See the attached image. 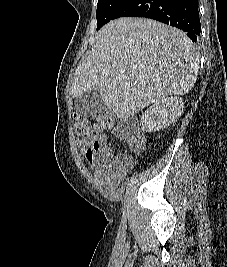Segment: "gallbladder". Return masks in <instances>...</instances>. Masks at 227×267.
<instances>
[{"instance_id": "gallbladder-1", "label": "gallbladder", "mask_w": 227, "mask_h": 267, "mask_svg": "<svg viewBox=\"0 0 227 267\" xmlns=\"http://www.w3.org/2000/svg\"><path fill=\"white\" fill-rule=\"evenodd\" d=\"M76 110L85 116L96 115L103 108L99 89H92L76 97Z\"/></svg>"}]
</instances>
